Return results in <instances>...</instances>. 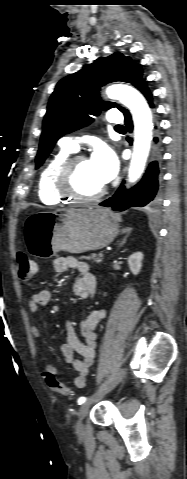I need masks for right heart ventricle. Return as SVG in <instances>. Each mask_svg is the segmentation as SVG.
Instances as JSON below:
<instances>
[{
	"label": "right heart ventricle",
	"instance_id": "1",
	"mask_svg": "<svg viewBox=\"0 0 187 479\" xmlns=\"http://www.w3.org/2000/svg\"><path fill=\"white\" fill-rule=\"evenodd\" d=\"M72 153V150L60 145L45 164L38 180V197L42 203L58 205L68 201L66 197L57 192L55 182L59 168Z\"/></svg>",
	"mask_w": 187,
	"mask_h": 479
}]
</instances>
